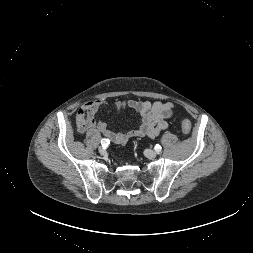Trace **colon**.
<instances>
[{"mask_svg": "<svg viewBox=\"0 0 253 253\" xmlns=\"http://www.w3.org/2000/svg\"><path fill=\"white\" fill-rule=\"evenodd\" d=\"M192 126L188 119L182 121V131L184 134H189L191 132Z\"/></svg>", "mask_w": 253, "mask_h": 253, "instance_id": "1", "label": "colon"}]
</instances>
